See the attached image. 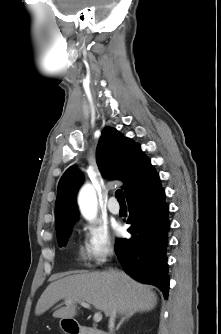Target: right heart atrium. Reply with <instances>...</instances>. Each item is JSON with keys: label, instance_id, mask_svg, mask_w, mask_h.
Returning a JSON list of instances; mask_svg holds the SVG:
<instances>
[{"label": "right heart atrium", "instance_id": "1", "mask_svg": "<svg viewBox=\"0 0 221 334\" xmlns=\"http://www.w3.org/2000/svg\"><path fill=\"white\" fill-rule=\"evenodd\" d=\"M84 251L89 260L96 265L103 264L114 252V243L107 227L99 221L83 224Z\"/></svg>", "mask_w": 221, "mask_h": 334}]
</instances>
